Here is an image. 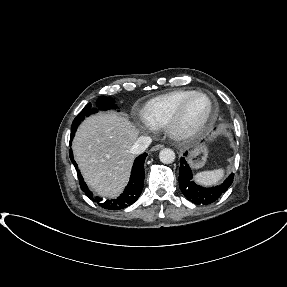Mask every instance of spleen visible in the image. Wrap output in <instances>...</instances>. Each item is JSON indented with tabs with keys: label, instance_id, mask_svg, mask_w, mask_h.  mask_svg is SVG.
I'll use <instances>...</instances> for the list:
<instances>
[{
	"label": "spleen",
	"instance_id": "spleen-1",
	"mask_svg": "<svg viewBox=\"0 0 287 287\" xmlns=\"http://www.w3.org/2000/svg\"><path fill=\"white\" fill-rule=\"evenodd\" d=\"M224 176V170L222 168L215 169L212 171H202L195 175L197 183L210 186L218 183Z\"/></svg>",
	"mask_w": 287,
	"mask_h": 287
}]
</instances>
